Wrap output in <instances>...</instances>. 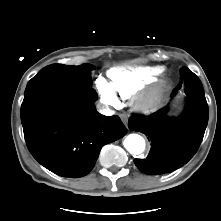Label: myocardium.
Wrapping results in <instances>:
<instances>
[{"label": "myocardium", "mask_w": 221, "mask_h": 221, "mask_svg": "<svg viewBox=\"0 0 221 221\" xmlns=\"http://www.w3.org/2000/svg\"><path fill=\"white\" fill-rule=\"evenodd\" d=\"M164 91H165V84L164 83L158 84L150 96L139 99L136 102V108L142 112L152 111L160 101Z\"/></svg>", "instance_id": "myocardium-1"}]
</instances>
